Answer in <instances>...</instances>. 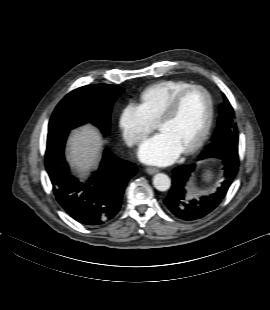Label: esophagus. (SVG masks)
<instances>
[{
  "label": "esophagus",
  "instance_id": "obj_1",
  "mask_svg": "<svg viewBox=\"0 0 270 310\" xmlns=\"http://www.w3.org/2000/svg\"><path fill=\"white\" fill-rule=\"evenodd\" d=\"M146 172H147L148 174H150V175H153V174L159 172V169L154 168V167H148V168H146Z\"/></svg>",
  "mask_w": 270,
  "mask_h": 310
}]
</instances>
